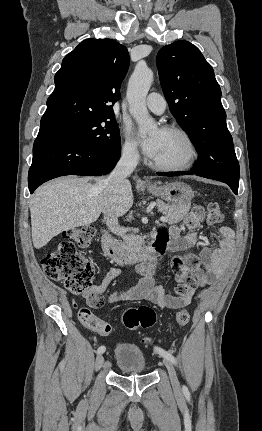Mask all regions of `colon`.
<instances>
[{
  "label": "colon",
  "instance_id": "obj_1",
  "mask_svg": "<svg viewBox=\"0 0 262 431\" xmlns=\"http://www.w3.org/2000/svg\"><path fill=\"white\" fill-rule=\"evenodd\" d=\"M222 212L217 202H210L207 206V219L211 224L222 221ZM95 236V229L83 226L64 233L63 240L52 250L47 252L40 263L46 276L56 282L64 284L67 291L80 294L88 289L96 275L95 263L81 254L79 247L91 245ZM198 281L194 277H188L176 285L178 296L185 297L197 288ZM80 322L89 328L98 331L103 336L112 332L111 325L96 318L89 310L83 308L79 311ZM190 320L188 310L182 308L176 314V323L184 327ZM123 325L128 330H136L140 327H151L156 322L154 310L147 305L127 309L122 317ZM149 343V340H145Z\"/></svg>",
  "mask_w": 262,
  "mask_h": 431
}]
</instances>
